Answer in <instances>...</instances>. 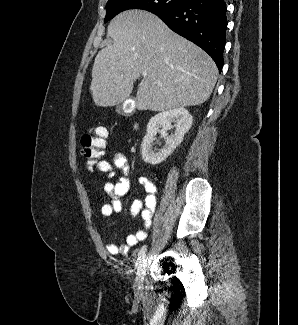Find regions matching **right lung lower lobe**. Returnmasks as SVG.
<instances>
[{
    "instance_id": "1",
    "label": "right lung lower lobe",
    "mask_w": 298,
    "mask_h": 325,
    "mask_svg": "<svg viewBox=\"0 0 298 325\" xmlns=\"http://www.w3.org/2000/svg\"><path fill=\"white\" fill-rule=\"evenodd\" d=\"M155 14L174 32L206 51L222 70L227 29L224 0H189L180 8Z\"/></svg>"
}]
</instances>
